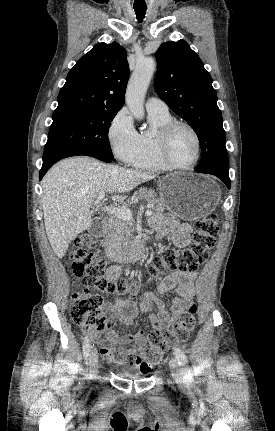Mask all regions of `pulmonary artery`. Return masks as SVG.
<instances>
[{"label": "pulmonary artery", "mask_w": 275, "mask_h": 431, "mask_svg": "<svg viewBox=\"0 0 275 431\" xmlns=\"http://www.w3.org/2000/svg\"><path fill=\"white\" fill-rule=\"evenodd\" d=\"M146 109L148 112H154V113H167L168 112V106L167 104L157 98V97H150L146 101Z\"/></svg>", "instance_id": "pulmonary-artery-1"}]
</instances>
